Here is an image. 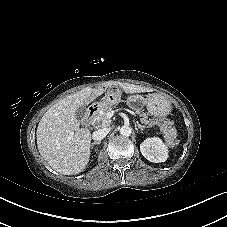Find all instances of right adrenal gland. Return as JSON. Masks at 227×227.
I'll use <instances>...</instances> for the list:
<instances>
[{
	"mask_svg": "<svg viewBox=\"0 0 227 227\" xmlns=\"http://www.w3.org/2000/svg\"><path fill=\"white\" fill-rule=\"evenodd\" d=\"M99 144H101L100 141H94L91 143V148H93L94 145H99Z\"/></svg>",
	"mask_w": 227,
	"mask_h": 227,
	"instance_id": "1",
	"label": "right adrenal gland"
}]
</instances>
